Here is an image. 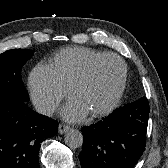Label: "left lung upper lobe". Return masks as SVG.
Listing matches in <instances>:
<instances>
[{
    "instance_id": "left-lung-upper-lobe-1",
    "label": "left lung upper lobe",
    "mask_w": 168,
    "mask_h": 168,
    "mask_svg": "<svg viewBox=\"0 0 168 168\" xmlns=\"http://www.w3.org/2000/svg\"><path fill=\"white\" fill-rule=\"evenodd\" d=\"M138 102H141V101H146L148 102V100L146 99V97H142L141 99L137 100Z\"/></svg>"
}]
</instances>
